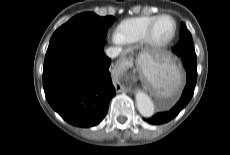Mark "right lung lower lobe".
<instances>
[{"instance_id":"1","label":"right lung lower lobe","mask_w":230,"mask_h":155,"mask_svg":"<svg viewBox=\"0 0 230 155\" xmlns=\"http://www.w3.org/2000/svg\"><path fill=\"white\" fill-rule=\"evenodd\" d=\"M105 43L82 42L46 53L43 87L51 107L68 123L91 127L100 123L115 95Z\"/></svg>"}]
</instances>
